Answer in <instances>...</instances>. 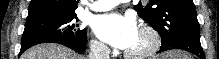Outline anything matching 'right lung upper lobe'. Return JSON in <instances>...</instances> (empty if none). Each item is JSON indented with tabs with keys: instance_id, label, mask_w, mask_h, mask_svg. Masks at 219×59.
<instances>
[{
	"instance_id": "cb5924a9",
	"label": "right lung upper lobe",
	"mask_w": 219,
	"mask_h": 59,
	"mask_svg": "<svg viewBox=\"0 0 219 59\" xmlns=\"http://www.w3.org/2000/svg\"><path fill=\"white\" fill-rule=\"evenodd\" d=\"M78 1L79 0H31L29 13L40 10L75 13Z\"/></svg>"
}]
</instances>
